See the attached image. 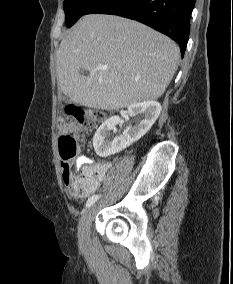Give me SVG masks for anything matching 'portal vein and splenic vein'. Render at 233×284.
Returning <instances> with one entry per match:
<instances>
[{"instance_id": "1", "label": "portal vein and splenic vein", "mask_w": 233, "mask_h": 284, "mask_svg": "<svg viewBox=\"0 0 233 284\" xmlns=\"http://www.w3.org/2000/svg\"><path fill=\"white\" fill-rule=\"evenodd\" d=\"M98 69H100V70H107V66L106 65H100L99 67H98Z\"/></svg>"}]
</instances>
